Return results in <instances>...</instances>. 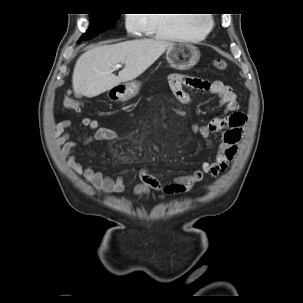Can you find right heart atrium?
Returning <instances> with one entry per match:
<instances>
[{
    "mask_svg": "<svg viewBox=\"0 0 303 303\" xmlns=\"http://www.w3.org/2000/svg\"><path fill=\"white\" fill-rule=\"evenodd\" d=\"M146 26V19L144 14H128L126 18V28L131 33L143 31Z\"/></svg>",
    "mask_w": 303,
    "mask_h": 303,
    "instance_id": "obj_1",
    "label": "right heart atrium"
}]
</instances>
